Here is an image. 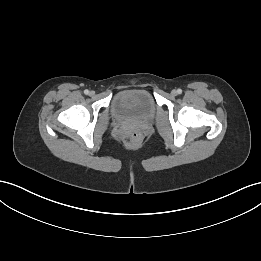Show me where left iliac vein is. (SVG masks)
I'll return each mask as SVG.
<instances>
[{
  "label": "left iliac vein",
  "mask_w": 261,
  "mask_h": 261,
  "mask_svg": "<svg viewBox=\"0 0 261 261\" xmlns=\"http://www.w3.org/2000/svg\"><path fill=\"white\" fill-rule=\"evenodd\" d=\"M171 95L176 96L177 95V91L176 90H172L171 91Z\"/></svg>",
  "instance_id": "1"
}]
</instances>
